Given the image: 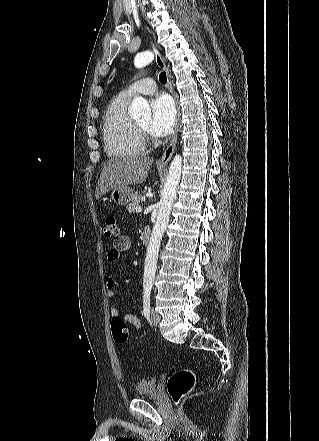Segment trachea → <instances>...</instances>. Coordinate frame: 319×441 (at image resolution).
Here are the masks:
<instances>
[{
	"mask_svg": "<svg viewBox=\"0 0 319 441\" xmlns=\"http://www.w3.org/2000/svg\"><path fill=\"white\" fill-rule=\"evenodd\" d=\"M159 80H160V82L162 84H165L167 82V77H166V73L165 72L160 73Z\"/></svg>",
	"mask_w": 319,
	"mask_h": 441,
	"instance_id": "obj_1",
	"label": "trachea"
}]
</instances>
